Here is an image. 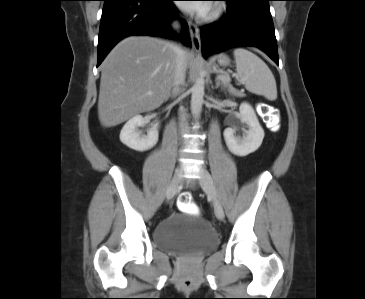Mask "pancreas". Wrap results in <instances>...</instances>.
Wrapping results in <instances>:
<instances>
[{
  "mask_svg": "<svg viewBox=\"0 0 365 299\" xmlns=\"http://www.w3.org/2000/svg\"><path fill=\"white\" fill-rule=\"evenodd\" d=\"M224 85H225V87H229L230 91L233 92L234 94H236L238 96H244L243 93L236 92L235 90H233L232 87L228 83H224Z\"/></svg>",
  "mask_w": 365,
  "mask_h": 299,
  "instance_id": "obj_1",
  "label": "pancreas"
}]
</instances>
